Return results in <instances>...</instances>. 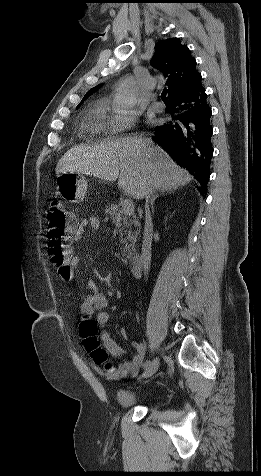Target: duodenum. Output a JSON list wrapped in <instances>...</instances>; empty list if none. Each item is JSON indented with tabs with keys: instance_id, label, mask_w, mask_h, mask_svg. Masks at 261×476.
I'll return each mask as SVG.
<instances>
[{
	"instance_id": "410a0bca",
	"label": "duodenum",
	"mask_w": 261,
	"mask_h": 476,
	"mask_svg": "<svg viewBox=\"0 0 261 476\" xmlns=\"http://www.w3.org/2000/svg\"><path fill=\"white\" fill-rule=\"evenodd\" d=\"M129 264H130L132 275L136 278L140 277L142 274V268H143L141 255L137 253L131 255L129 257Z\"/></svg>"
}]
</instances>
